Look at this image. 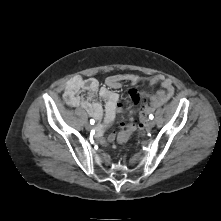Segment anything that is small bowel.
Wrapping results in <instances>:
<instances>
[{
    "mask_svg": "<svg viewBox=\"0 0 221 221\" xmlns=\"http://www.w3.org/2000/svg\"><path fill=\"white\" fill-rule=\"evenodd\" d=\"M143 78L136 74H117L109 76L106 79L105 86L99 85L95 78L84 79L75 76L68 80L64 90V99L71 107H81L89 116L99 121L95 134L102 142H112L115 140V134L111 133L105 136L106 130L113 123L117 114L122 110L119 95L114 91L122 87L123 82H129L132 86L139 84ZM150 85L160 84L161 88L152 99V107H158L168 101L174 94V85L171 79L162 75H153L147 78ZM85 92V96L81 92ZM100 97L105 102V109L96 100ZM131 101L138 104L146 100V93L131 89L129 92ZM150 110V108H144ZM134 113V111H131Z\"/></svg>",
    "mask_w": 221,
    "mask_h": 221,
    "instance_id": "small-bowel-1",
    "label": "small bowel"
}]
</instances>
